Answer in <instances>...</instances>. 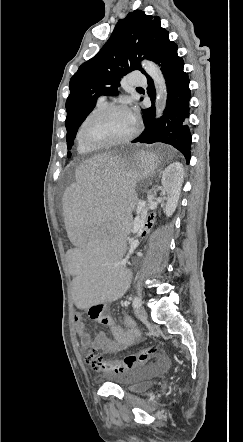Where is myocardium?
Instances as JSON below:
<instances>
[{
    "label": "myocardium",
    "mask_w": 243,
    "mask_h": 442,
    "mask_svg": "<svg viewBox=\"0 0 243 442\" xmlns=\"http://www.w3.org/2000/svg\"><path fill=\"white\" fill-rule=\"evenodd\" d=\"M120 110L127 111L130 113V110L125 105L113 104V105H107V106L101 108L100 110L94 112L93 114L89 115L83 121V123L80 127L79 137H80L81 142L87 148H89L91 150H99V149H106V148L121 146V145H124V144L130 142L136 136V134L138 132V126H137L136 122L134 123V128H133L132 132L129 135H127L126 137L118 139V140H114V141L106 142V143L95 144V143H91L90 141H88L85 137L86 128L93 120L103 117L109 113H112L115 111H120Z\"/></svg>",
    "instance_id": "obj_1"
}]
</instances>
